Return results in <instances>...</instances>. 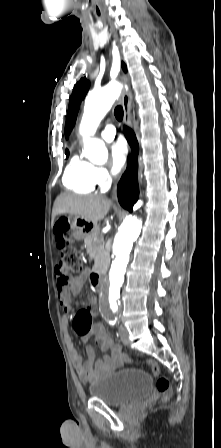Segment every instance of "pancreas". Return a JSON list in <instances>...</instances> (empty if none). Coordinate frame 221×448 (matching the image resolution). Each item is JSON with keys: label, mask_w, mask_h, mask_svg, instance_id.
<instances>
[{"label": "pancreas", "mask_w": 221, "mask_h": 448, "mask_svg": "<svg viewBox=\"0 0 221 448\" xmlns=\"http://www.w3.org/2000/svg\"><path fill=\"white\" fill-rule=\"evenodd\" d=\"M85 247L95 261V268L102 271L107 268L109 255L104 248V240L98 231H93L84 239Z\"/></svg>", "instance_id": "obj_1"}]
</instances>
